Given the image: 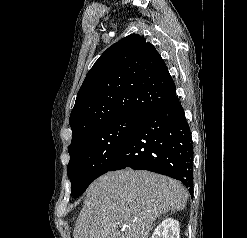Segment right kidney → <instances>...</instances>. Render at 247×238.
I'll return each mask as SVG.
<instances>
[{
  "label": "right kidney",
  "instance_id": "right-kidney-1",
  "mask_svg": "<svg viewBox=\"0 0 247 238\" xmlns=\"http://www.w3.org/2000/svg\"><path fill=\"white\" fill-rule=\"evenodd\" d=\"M151 238H180L179 222L167 218L154 230Z\"/></svg>",
  "mask_w": 247,
  "mask_h": 238
}]
</instances>
